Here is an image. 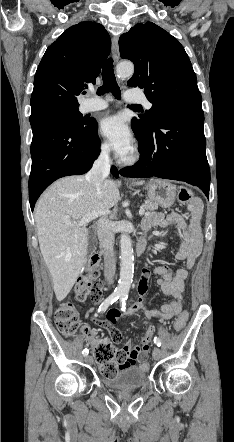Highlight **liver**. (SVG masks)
Instances as JSON below:
<instances>
[{"mask_svg":"<svg viewBox=\"0 0 234 442\" xmlns=\"http://www.w3.org/2000/svg\"><path fill=\"white\" fill-rule=\"evenodd\" d=\"M119 200L115 182L105 180L97 190L84 176L59 179L38 200L34 211L38 241L58 301L71 291L87 255L88 230L70 224L110 209Z\"/></svg>","mask_w":234,"mask_h":442,"instance_id":"liver-1","label":"liver"}]
</instances>
